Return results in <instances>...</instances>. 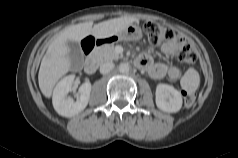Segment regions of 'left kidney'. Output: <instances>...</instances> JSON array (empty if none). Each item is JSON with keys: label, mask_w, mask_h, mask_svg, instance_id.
<instances>
[{"label": "left kidney", "mask_w": 238, "mask_h": 158, "mask_svg": "<svg viewBox=\"0 0 238 158\" xmlns=\"http://www.w3.org/2000/svg\"><path fill=\"white\" fill-rule=\"evenodd\" d=\"M155 96L157 107L164 112L176 113L182 107V95L171 85L158 84Z\"/></svg>", "instance_id": "1"}]
</instances>
